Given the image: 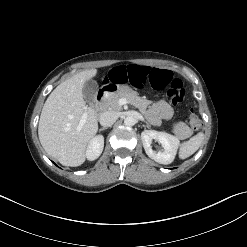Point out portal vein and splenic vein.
<instances>
[{
    "instance_id": "1",
    "label": "portal vein and splenic vein",
    "mask_w": 247,
    "mask_h": 247,
    "mask_svg": "<svg viewBox=\"0 0 247 247\" xmlns=\"http://www.w3.org/2000/svg\"><path fill=\"white\" fill-rule=\"evenodd\" d=\"M86 118H87V114H83L82 118H81V121H80V124L83 125L85 122H86Z\"/></svg>"
}]
</instances>
